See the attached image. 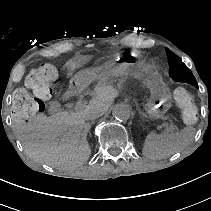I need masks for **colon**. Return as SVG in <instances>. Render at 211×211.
<instances>
[{
	"label": "colon",
	"instance_id": "1",
	"mask_svg": "<svg viewBox=\"0 0 211 211\" xmlns=\"http://www.w3.org/2000/svg\"><path fill=\"white\" fill-rule=\"evenodd\" d=\"M58 81V71L51 64H43L32 70L26 77V87L17 88L13 93L12 118L16 122L26 123L40 116L45 108L44 101L50 98ZM174 99L184 123L195 124L199 113L193 95L185 88H178L174 92Z\"/></svg>",
	"mask_w": 211,
	"mask_h": 211
}]
</instances>
